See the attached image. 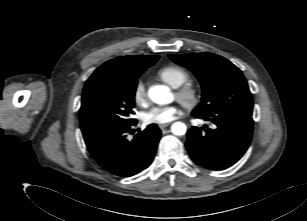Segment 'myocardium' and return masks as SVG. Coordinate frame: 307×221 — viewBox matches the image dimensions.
<instances>
[{"label":"myocardium","instance_id":"myocardium-1","mask_svg":"<svg viewBox=\"0 0 307 221\" xmlns=\"http://www.w3.org/2000/svg\"><path fill=\"white\" fill-rule=\"evenodd\" d=\"M175 96L188 110L196 109L202 101V91L200 87L190 82L176 87Z\"/></svg>","mask_w":307,"mask_h":221}]
</instances>
